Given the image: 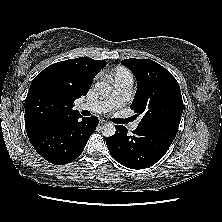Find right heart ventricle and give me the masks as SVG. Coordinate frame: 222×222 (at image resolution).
Listing matches in <instances>:
<instances>
[{
	"instance_id": "e07e8e85",
	"label": "right heart ventricle",
	"mask_w": 222,
	"mask_h": 222,
	"mask_svg": "<svg viewBox=\"0 0 222 222\" xmlns=\"http://www.w3.org/2000/svg\"><path fill=\"white\" fill-rule=\"evenodd\" d=\"M127 73H129L127 70H125V69H123V68H119V69H117V71H116L115 77L118 76V75H120V74H127Z\"/></svg>"
}]
</instances>
